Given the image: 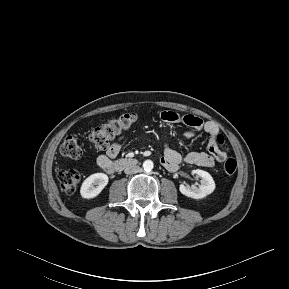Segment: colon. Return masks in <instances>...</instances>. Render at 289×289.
Returning <instances> with one entry per match:
<instances>
[{
    "label": "colon",
    "mask_w": 289,
    "mask_h": 289,
    "mask_svg": "<svg viewBox=\"0 0 289 289\" xmlns=\"http://www.w3.org/2000/svg\"><path fill=\"white\" fill-rule=\"evenodd\" d=\"M137 120L135 114L127 113L111 119L101 126L95 128L89 135V139L96 150L104 151L110 146V141L124 131L128 130ZM216 144L225 146V139L222 134L216 137ZM63 156L77 159L82 156V148L76 136H68L65 138L60 147ZM237 168L236 160L233 158L226 159L224 163V172L231 176ZM58 180L60 187L66 194H73L79 184L80 175L76 170L65 169L58 172Z\"/></svg>",
    "instance_id": "colon-1"
}]
</instances>
